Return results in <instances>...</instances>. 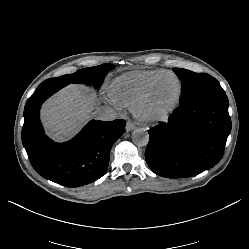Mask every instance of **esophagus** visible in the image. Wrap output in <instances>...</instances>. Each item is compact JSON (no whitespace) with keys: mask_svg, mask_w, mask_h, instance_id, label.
<instances>
[{"mask_svg":"<svg viewBox=\"0 0 249 249\" xmlns=\"http://www.w3.org/2000/svg\"><path fill=\"white\" fill-rule=\"evenodd\" d=\"M136 128L135 124L131 121L126 123V131H133Z\"/></svg>","mask_w":249,"mask_h":249,"instance_id":"esophagus-1","label":"esophagus"}]
</instances>
